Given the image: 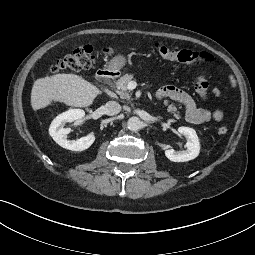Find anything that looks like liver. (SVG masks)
Listing matches in <instances>:
<instances>
[{"label":"liver","instance_id":"1","mask_svg":"<svg viewBox=\"0 0 255 255\" xmlns=\"http://www.w3.org/2000/svg\"><path fill=\"white\" fill-rule=\"evenodd\" d=\"M102 92L93 84L76 74H56L34 81L31 90V107L34 111L53 102L72 107H88Z\"/></svg>","mask_w":255,"mask_h":255}]
</instances>
